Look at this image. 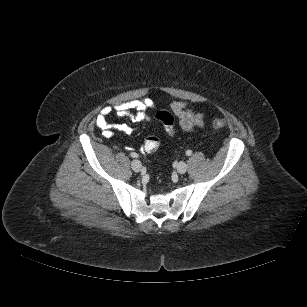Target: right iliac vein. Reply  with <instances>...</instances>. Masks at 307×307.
I'll return each instance as SVG.
<instances>
[{"instance_id":"right-iliac-vein-1","label":"right iliac vein","mask_w":307,"mask_h":307,"mask_svg":"<svg viewBox=\"0 0 307 307\" xmlns=\"http://www.w3.org/2000/svg\"><path fill=\"white\" fill-rule=\"evenodd\" d=\"M131 168L135 172H139L142 169V164L139 160H133L131 163Z\"/></svg>"}]
</instances>
